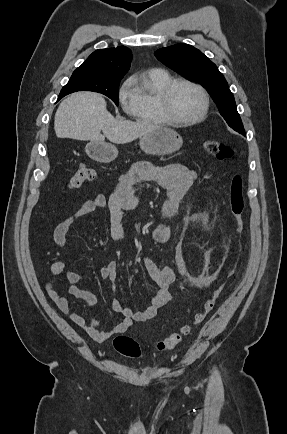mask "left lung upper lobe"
Returning <instances> with one entry per match:
<instances>
[{
  "instance_id": "5c2ea615",
  "label": "left lung upper lobe",
  "mask_w": 287,
  "mask_h": 434,
  "mask_svg": "<svg viewBox=\"0 0 287 434\" xmlns=\"http://www.w3.org/2000/svg\"><path fill=\"white\" fill-rule=\"evenodd\" d=\"M155 56L163 64L188 80L207 89L228 125L243 134L244 127L237 112L234 96L223 74L200 50L188 44L158 49Z\"/></svg>"
}]
</instances>
